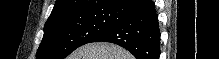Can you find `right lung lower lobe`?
<instances>
[{"label": "right lung lower lobe", "mask_w": 219, "mask_h": 59, "mask_svg": "<svg viewBox=\"0 0 219 59\" xmlns=\"http://www.w3.org/2000/svg\"><path fill=\"white\" fill-rule=\"evenodd\" d=\"M113 9L119 14V21L92 42L120 45L137 59H159L160 30L153 1L123 0Z\"/></svg>", "instance_id": "98d812e1"}]
</instances>
